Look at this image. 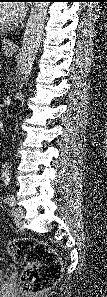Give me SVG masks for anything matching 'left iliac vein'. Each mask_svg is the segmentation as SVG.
Listing matches in <instances>:
<instances>
[{
    "instance_id": "left-iliac-vein-1",
    "label": "left iliac vein",
    "mask_w": 107,
    "mask_h": 297,
    "mask_svg": "<svg viewBox=\"0 0 107 297\" xmlns=\"http://www.w3.org/2000/svg\"><path fill=\"white\" fill-rule=\"evenodd\" d=\"M12 217L15 222H19L24 217V210L20 207H17L12 212Z\"/></svg>"
}]
</instances>
